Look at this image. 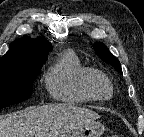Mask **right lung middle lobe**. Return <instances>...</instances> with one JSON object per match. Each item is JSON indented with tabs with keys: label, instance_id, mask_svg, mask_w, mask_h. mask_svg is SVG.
I'll use <instances>...</instances> for the list:
<instances>
[{
	"label": "right lung middle lobe",
	"instance_id": "obj_1",
	"mask_svg": "<svg viewBox=\"0 0 144 137\" xmlns=\"http://www.w3.org/2000/svg\"><path fill=\"white\" fill-rule=\"evenodd\" d=\"M44 62L0 66V109L27 99Z\"/></svg>",
	"mask_w": 144,
	"mask_h": 137
}]
</instances>
